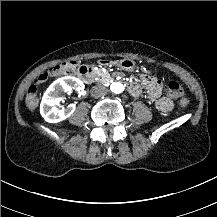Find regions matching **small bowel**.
Returning <instances> with one entry per match:
<instances>
[{
  "instance_id": "c3829d8e",
  "label": "small bowel",
  "mask_w": 217,
  "mask_h": 217,
  "mask_svg": "<svg viewBox=\"0 0 217 217\" xmlns=\"http://www.w3.org/2000/svg\"><path fill=\"white\" fill-rule=\"evenodd\" d=\"M141 83L149 88V99L154 103L155 108L163 113H168L173 109V102L169 97H160V81L154 76H142ZM141 90L131 93L132 96H139Z\"/></svg>"
}]
</instances>
